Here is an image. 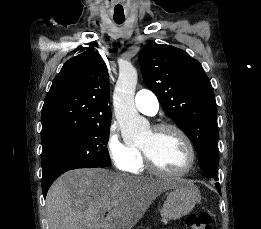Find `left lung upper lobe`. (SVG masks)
<instances>
[{
	"label": "left lung upper lobe",
	"instance_id": "obj_1",
	"mask_svg": "<svg viewBox=\"0 0 261 229\" xmlns=\"http://www.w3.org/2000/svg\"><path fill=\"white\" fill-rule=\"evenodd\" d=\"M144 84L191 139L203 168L217 157L216 102L201 64L170 45L147 44L139 54Z\"/></svg>",
	"mask_w": 261,
	"mask_h": 229
}]
</instances>
